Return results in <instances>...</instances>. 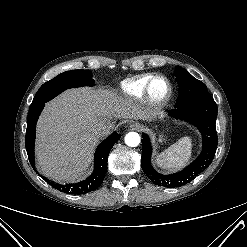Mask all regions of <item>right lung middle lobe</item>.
<instances>
[{"label": "right lung middle lobe", "instance_id": "obj_1", "mask_svg": "<svg viewBox=\"0 0 247 247\" xmlns=\"http://www.w3.org/2000/svg\"><path fill=\"white\" fill-rule=\"evenodd\" d=\"M93 85L94 80L92 79V75L86 70H71L63 72L40 87L30 108L45 104L66 89Z\"/></svg>", "mask_w": 247, "mask_h": 247}]
</instances>
